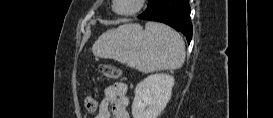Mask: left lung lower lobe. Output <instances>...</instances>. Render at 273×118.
Instances as JSON below:
<instances>
[{"mask_svg": "<svg viewBox=\"0 0 273 118\" xmlns=\"http://www.w3.org/2000/svg\"><path fill=\"white\" fill-rule=\"evenodd\" d=\"M140 19L167 24L180 31L186 37L188 43L191 41L192 24L189 0H163L153 12Z\"/></svg>", "mask_w": 273, "mask_h": 118, "instance_id": "0a47b994", "label": "left lung lower lobe"}]
</instances>
